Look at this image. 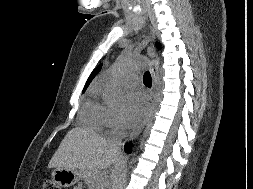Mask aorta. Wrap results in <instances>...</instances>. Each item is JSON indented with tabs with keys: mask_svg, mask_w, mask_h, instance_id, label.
<instances>
[{
	"mask_svg": "<svg viewBox=\"0 0 253 189\" xmlns=\"http://www.w3.org/2000/svg\"><path fill=\"white\" fill-rule=\"evenodd\" d=\"M146 58H134L129 55H122L113 67V74L104 84L105 103L112 108H119L124 102V95L119 84V76L130 70L142 68L145 65Z\"/></svg>",
	"mask_w": 253,
	"mask_h": 189,
	"instance_id": "762f6f07",
	"label": "aorta"
}]
</instances>
